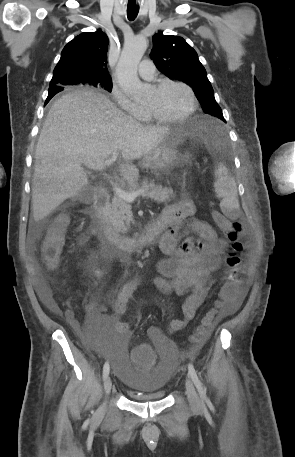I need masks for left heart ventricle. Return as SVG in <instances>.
<instances>
[{"label":"left heart ventricle","instance_id":"obj_1","mask_svg":"<svg viewBox=\"0 0 295 457\" xmlns=\"http://www.w3.org/2000/svg\"><path fill=\"white\" fill-rule=\"evenodd\" d=\"M188 92L181 86L168 85L161 90L151 89L145 105L154 108L164 117L184 114L190 107Z\"/></svg>","mask_w":295,"mask_h":457}]
</instances>
